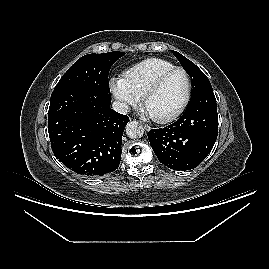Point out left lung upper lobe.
Segmentation results:
<instances>
[{"instance_id":"1","label":"left lung upper lobe","mask_w":269,"mask_h":269,"mask_svg":"<svg viewBox=\"0 0 269 269\" xmlns=\"http://www.w3.org/2000/svg\"><path fill=\"white\" fill-rule=\"evenodd\" d=\"M172 53L175 55V57L183 66L184 70L189 74L192 79V96L196 95L198 92L204 90L205 88L212 87L206 75L193 62H191L182 54L176 51H172Z\"/></svg>"}]
</instances>
